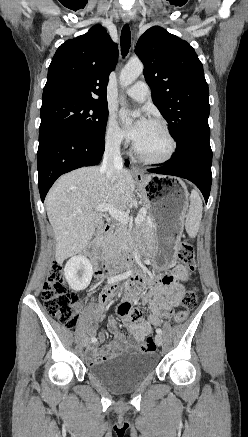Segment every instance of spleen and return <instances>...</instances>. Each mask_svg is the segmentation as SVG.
Returning a JSON list of instances; mask_svg holds the SVG:
<instances>
[{"label":"spleen","mask_w":248,"mask_h":437,"mask_svg":"<svg viewBox=\"0 0 248 437\" xmlns=\"http://www.w3.org/2000/svg\"><path fill=\"white\" fill-rule=\"evenodd\" d=\"M202 200L195 190L190 195V206L186 216L185 228L191 238H195L202 218Z\"/></svg>","instance_id":"obj_1"}]
</instances>
